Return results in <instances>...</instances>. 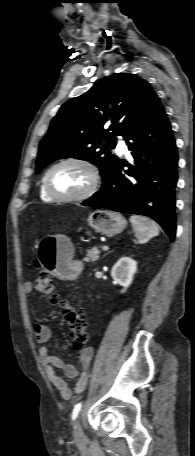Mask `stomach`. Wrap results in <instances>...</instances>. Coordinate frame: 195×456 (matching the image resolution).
<instances>
[{"instance_id":"obj_1","label":"stomach","mask_w":195,"mask_h":456,"mask_svg":"<svg viewBox=\"0 0 195 456\" xmlns=\"http://www.w3.org/2000/svg\"><path fill=\"white\" fill-rule=\"evenodd\" d=\"M87 222L92 229L107 236L121 233L127 224L121 214L100 209L90 213ZM39 259L50 274L62 279L76 277L81 266V262L74 260L70 239L64 235L44 237L39 245Z\"/></svg>"}]
</instances>
